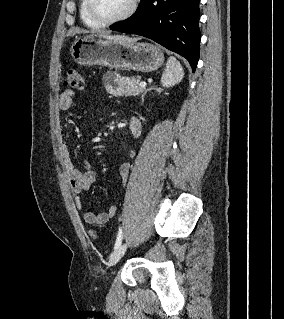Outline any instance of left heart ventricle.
Wrapping results in <instances>:
<instances>
[{
	"mask_svg": "<svg viewBox=\"0 0 284 319\" xmlns=\"http://www.w3.org/2000/svg\"><path fill=\"white\" fill-rule=\"evenodd\" d=\"M130 0H95L97 13L106 19L122 14L129 6Z\"/></svg>",
	"mask_w": 284,
	"mask_h": 319,
	"instance_id": "1",
	"label": "left heart ventricle"
}]
</instances>
